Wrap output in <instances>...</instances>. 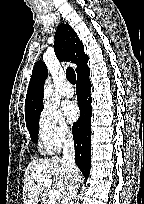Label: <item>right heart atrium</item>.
Listing matches in <instances>:
<instances>
[{
  "label": "right heart atrium",
  "mask_w": 144,
  "mask_h": 204,
  "mask_svg": "<svg viewBox=\"0 0 144 204\" xmlns=\"http://www.w3.org/2000/svg\"><path fill=\"white\" fill-rule=\"evenodd\" d=\"M41 147L46 152H56L72 138V132L60 111L52 106L42 108L38 116Z\"/></svg>",
  "instance_id": "obj_1"
}]
</instances>
